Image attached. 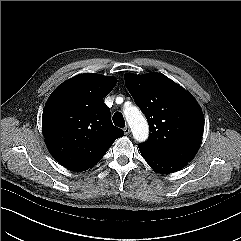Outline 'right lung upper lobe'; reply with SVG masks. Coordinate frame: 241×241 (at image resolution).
I'll return each instance as SVG.
<instances>
[{
    "instance_id": "right-lung-upper-lobe-1",
    "label": "right lung upper lobe",
    "mask_w": 241,
    "mask_h": 241,
    "mask_svg": "<svg viewBox=\"0 0 241 241\" xmlns=\"http://www.w3.org/2000/svg\"><path fill=\"white\" fill-rule=\"evenodd\" d=\"M115 83L113 77L80 74L49 97L42 131L49 152L64 167L78 172L89 169L124 135L112 124L110 109L103 102Z\"/></svg>"
}]
</instances>
